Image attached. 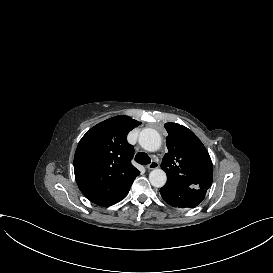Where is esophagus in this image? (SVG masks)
Segmentation results:
<instances>
[{
    "mask_svg": "<svg viewBox=\"0 0 273 273\" xmlns=\"http://www.w3.org/2000/svg\"><path fill=\"white\" fill-rule=\"evenodd\" d=\"M159 163L157 161H152L149 165H147V169L152 170L158 168Z\"/></svg>",
    "mask_w": 273,
    "mask_h": 273,
    "instance_id": "esophagus-1",
    "label": "esophagus"
}]
</instances>
